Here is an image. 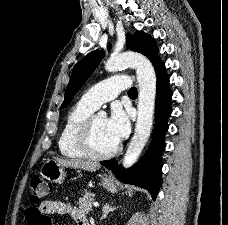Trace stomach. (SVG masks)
I'll return each instance as SVG.
<instances>
[{
    "mask_svg": "<svg viewBox=\"0 0 228 225\" xmlns=\"http://www.w3.org/2000/svg\"><path fill=\"white\" fill-rule=\"evenodd\" d=\"M66 169V165H61L56 159H48V161H45L44 165H42L40 175H42L44 179H47V181H50V183H59V185H61L66 177ZM101 183L102 187L110 191V193H117L116 183L109 175L108 179L105 175Z\"/></svg>",
    "mask_w": 228,
    "mask_h": 225,
    "instance_id": "obj_1",
    "label": "stomach"
}]
</instances>
